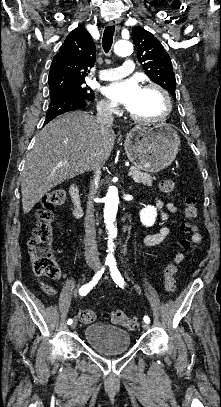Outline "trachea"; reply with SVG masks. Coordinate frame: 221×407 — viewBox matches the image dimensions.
Returning <instances> with one entry per match:
<instances>
[{
  "instance_id": "trachea-1",
  "label": "trachea",
  "mask_w": 221,
  "mask_h": 407,
  "mask_svg": "<svg viewBox=\"0 0 221 407\" xmlns=\"http://www.w3.org/2000/svg\"><path fill=\"white\" fill-rule=\"evenodd\" d=\"M114 31H115V26H107L104 30L103 38H102V46L106 53L109 52V50L112 46Z\"/></svg>"
}]
</instances>
